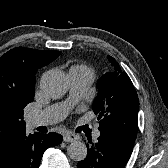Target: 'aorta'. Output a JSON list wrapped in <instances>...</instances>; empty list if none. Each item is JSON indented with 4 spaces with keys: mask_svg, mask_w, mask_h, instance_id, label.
Instances as JSON below:
<instances>
[{
    "mask_svg": "<svg viewBox=\"0 0 168 168\" xmlns=\"http://www.w3.org/2000/svg\"><path fill=\"white\" fill-rule=\"evenodd\" d=\"M40 87L45 95L59 98L67 92L69 79L62 71H49L42 76ZM67 153L72 160L82 161L87 156V147L81 141H74L68 146Z\"/></svg>",
    "mask_w": 168,
    "mask_h": 168,
    "instance_id": "obj_1",
    "label": "aorta"
}]
</instances>
